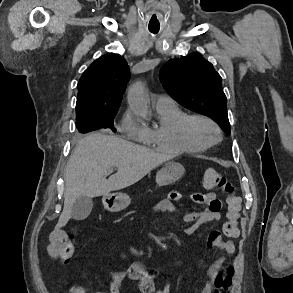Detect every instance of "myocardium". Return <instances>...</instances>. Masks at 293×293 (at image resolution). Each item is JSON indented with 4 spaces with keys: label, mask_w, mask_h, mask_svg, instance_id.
<instances>
[{
    "label": "myocardium",
    "mask_w": 293,
    "mask_h": 293,
    "mask_svg": "<svg viewBox=\"0 0 293 293\" xmlns=\"http://www.w3.org/2000/svg\"><path fill=\"white\" fill-rule=\"evenodd\" d=\"M195 121H203V122H206L209 125H211L216 132V135H217L216 139L209 141V142H206V143H201V142L195 140L192 135V130H191L192 124ZM181 132H182V136H183L184 140L188 144H190L192 147H194L198 150H205V149L211 147L212 145L216 144L222 138V132H221L220 126L217 124V122L209 116H206L204 114H198V113L197 114H190V115L186 116V118L183 120L182 125H181Z\"/></svg>",
    "instance_id": "myocardium-1"
}]
</instances>
